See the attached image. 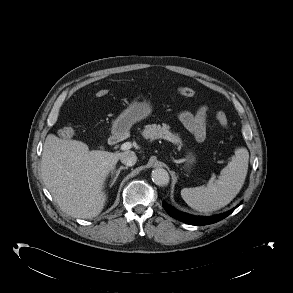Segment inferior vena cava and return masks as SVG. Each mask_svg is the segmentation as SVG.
<instances>
[{
    "label": "inferior vena cava",
    "instance_id": "inferior-vena-cava-1",
    "mask_svg": "<svg viewBox=\"0 0 293 293\" xmlns=\"http://www.w3.org/2000/svg\"><path fill=\"white\" fill-rule=\"evenodd\" d=\"M120 160L127 166H133L137 161V156L133 151H126L121 154Z\"/></svg>",
    "mask_w": 293,
    "mask_h": 293
}]
</instances>
